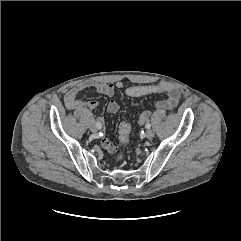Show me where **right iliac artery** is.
Returning <instances> with one entry per match:
<instances>
[{
	"mask_svg": "<svg viewBox=\"0 0 241 241\" xmlns=\"http://www.w3.org/2000/svg\"><path fill=\"white\" fill-rule=\"evenodd\" d=\"M96 126L98 127V129H101V127H102L101 123L98 120L96 122Z\"/></svg>",
	"mask_w": 241,
	"mask_h": 241,
	"instance_id": "1",
	"label": "right iliac artery"
}]
</instances>
